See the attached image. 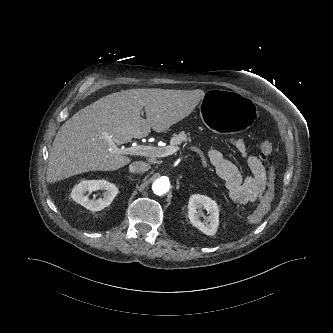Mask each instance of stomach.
<instances>
[{"mask_svg": "<svg viewBox=\"0 0 333 333\" xmlns=\"http://www.w3.org/2000/svg\"><path fill=\"white\" fill-rule=\"evenodd\" d=\"M199 116L203 123L216 132L242 135L254 128L258 121V108L245 95L212 90L199 103Z\"/></svg>", "mask_w": 333, "mask_h": 333, "instance_id": "1", "label": "stomach"}]
</instances>
